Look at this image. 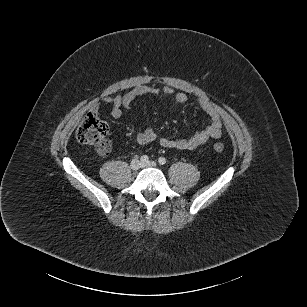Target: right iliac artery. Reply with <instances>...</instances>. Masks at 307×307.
I'll return each instance as SVG.
<instances>
[{"label": "right iliac artery", "mask_w": 307, "mask_h": 307, "mask_svg": "<svg viewBox=\"0 0 307 307\" xmlns=\"http://www.w3.org/2000/svg\"><path fill=\"white\" fill-rule=\"evenodd\" d=\"M140 160H141V162L146 163V162L149 161V157L147 155H143V156H141Z\"/></svg>", "instance_id": "1"}]
</instances>
